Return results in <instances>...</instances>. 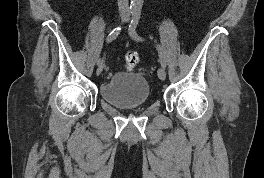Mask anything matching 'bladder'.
I'll return each instance as SVG.
<instances>
[{
    "mask_svg": "<svg viewBox=\"0 0 264 178\" xmlns=\"http://www.w3.org/2000/svg\"><path fill=\"white\" fill-rule=\"evenodd\" d=\"M100 95L114 107L133 108L149 100L150 86L139 73L116 72L101 85Z\"/></svg>",
    "mask_w": 264,
    "mask_h": 178,
    "instance_id": "obj_1",
    "label": "bladder"
}]
</instances>
